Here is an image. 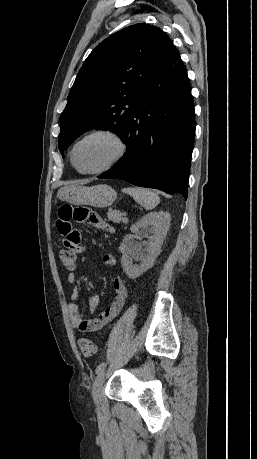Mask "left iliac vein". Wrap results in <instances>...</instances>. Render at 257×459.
I'll return each instance as SVG.
<instances>
[{
    "label": "left iliac vein",
    "mask_w": 257,
    "mask_h": 459,
    "mask_svg": "<svg viewBox=\"0 0 257 459\" xmlns=\"http://www.w3.org/2000/svg\"><path fill=\"white\" fill-rule=\"evenodd\" d=\"M104 378H105V371L103 370L101 373L97 375L93 383L92 398L96 404H98L100 401V393H101L102 385L104 383Z\"/></svg>",
    "instance_id": "1"
}]
</instances>
